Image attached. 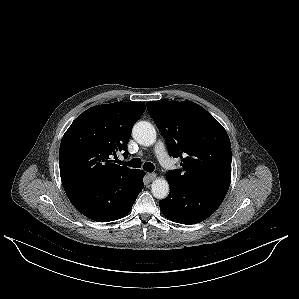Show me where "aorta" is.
Listing matches in <instances>:
<instances>
[{
	"instance_id": "762f6f07",
	"label": "aorta",
	"mask_w": 299,
	"mask_h": 299,
	"mask_svg": "<svg viewBox=\"0 0 299 299\" xmlns=\"http://www.w3.org/2000/svg\"><path fill=\"white\" fill-rule=\"evenodd\" d=\"M132 136L137 143L151 146L156 141V130L147 121L137 122L132 129ZM151 192L157 199H165L169 194V184L164 178H157L151 184Z\"/></svg>"
}]
</instances>
